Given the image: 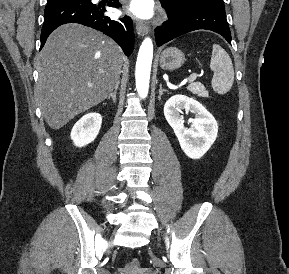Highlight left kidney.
Segmentation results:
<instances>
[{"instance_id":"5707ae66","label":"left kidney","mask_w":289,"mask_h":274,"mask_svg":"<svg viewBox=\"0 0 289 274\" xmlns=\"http://www.w3.org/2000/svg\"><path fill=\"white\" fill-rule=\"evenodd\" d=\"M185 110L195 115L192 127H184ZM164 116L173 128L184 153L192 158H201L217 138L218 125L215 118L198 101L185 95H174L164 105Z\"/></svg>"}]
</instances>
